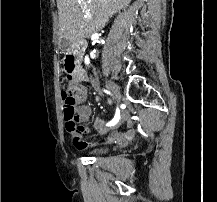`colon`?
<instances>
[{
	"label": "colon",
	"instance_id": "colon-1",
	"mask_svg": "<svg viewBox=\"0 0 217 202\" xmlns=\"http://www.w3.org/2000/svg\"><path fill=\"white\" fill-rule=\"evenodd\" d=\"M74 90L62 89V100L64 108V117L66 122L67 131L69 132H82L83 128L77 125V117L75 115L74 107Z\"/></svg>",
	"mask_w": 217,
	"mask_h": 202
}]
</instances>
